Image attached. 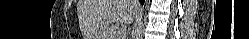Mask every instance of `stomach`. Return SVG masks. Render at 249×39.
I'll return each instance as SVG.
<instances>
[{"label":"stomach","instance_id":"obj_1","mask_svg":"<svg viewBox=\"0 0 249 39\" xmlns=\"http://www.w3.org/2000/svg\"><path fill=\"white\" fill-rule=\"evenodd\" d=\"M104 37L103 35H98V38Z\"/></svg>","mask_w":249,"mask_h":39}]
</instances>
